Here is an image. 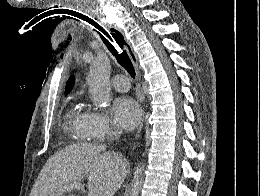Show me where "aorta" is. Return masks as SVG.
Returning a JSON list of instances; mask_svg holds the SVG:
<instances>
[{
  "mask_svg": "<svg viewBox=\"0 0 260 196\" xmlns=\"http://www.w3.org/2000/svg\"><path fill=\"white\" fill-rule=\"evenodd\" d=\"M110 59L100 52L92 61L88 75L89 92L97 107L105 108L111 102ZM143 167L138 166L133 173L129 196H139L142 187Z\"/></svg>",
  "mask_w": 260,
  "mask_h": 196,
  "instance_id": "1",
  "label": "aorta"
}]
</instances>
